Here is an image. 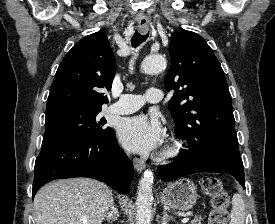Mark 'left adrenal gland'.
Instances as JSON below:
<instances>
[{
    "instance_id": "left-adrenal-gland-1",
    "label": "left adrenal gland",
    "mask_w": 275,
    "mask_h": 224,
    "mask_svg": "<svg viewBox=\"0 0 275 224\" xmlns=\"http://www.w3.org/2000/svg\"><path fill=\"white\" fill-rule=\"evenodd\" d=\"M172 220H173V218L169 217L168 214H167V212L164 210L163 211V218H162L161 224H168Z\"/></svg>"
}]
</instances>
